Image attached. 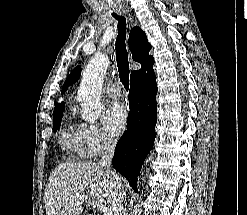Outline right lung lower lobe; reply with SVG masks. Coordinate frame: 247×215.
I'll list each match as a JSON object with an SVG mask.
<instances>
[{"mask_svg":"<svg viewBox=\"0 0 247 215\" xmlns=\"http://www.w3.org/2000/svg\"><path fill=\"white\" fill-rule=\"evenodd\" d=\"M154 60L130 77L128 128L119 139L113 167L126 177L137 192V175L155 140L157 85Z\"/></svg>","mask_w":247,"mask_h":215,"instance_id":"98d812e1","label":"right lung lower lobe"}]
</instances>
